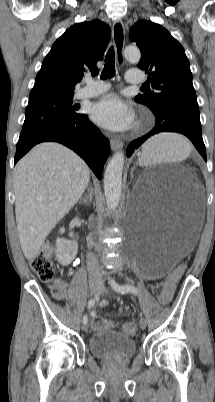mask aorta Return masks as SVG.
<instances>
[{
  "label": "aorta",
  "mask_w": 215,
  "mask_h": 402,
  "mask_svg": "<svg viewBox=\"0 0 215 402\" xmlns=\"http://www.w3.org/2000/svg\"><path fill=\"white\" fill-rule=\"evenodd\" d=\"M124 57L129 62L137 63L141 58V53L137 47L128 46L124 50ZM123 166L124 152L118 151L110 159L104 173L105 199L111 210L117 208L120 203Z\"/></svg>",
  "instance_id": "762f6f07"
}]
</instances>
